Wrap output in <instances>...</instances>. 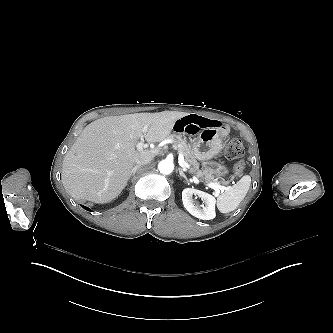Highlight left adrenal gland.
I'll list each match as a JSON object with an SVG mask.
<instances>
[{"mask_svg":"<svg viewBox=\"0 0 333 333\" xmlns=\"http://www.w3.org/2000/svg\"><path fill=\"white\" fill-rule=\"evenodd\" d=\"M179 174H180V176L184 177L187 182H189V180H188L187 176L185 175V173L183 172L182 168H179Z\"/></svg>","mask_w":333,"mask_h":333,"instance_id":"left-adrenal-gland-1","label":"left adrenal gland"}]
</instances>
